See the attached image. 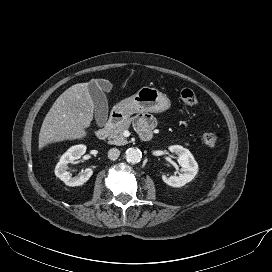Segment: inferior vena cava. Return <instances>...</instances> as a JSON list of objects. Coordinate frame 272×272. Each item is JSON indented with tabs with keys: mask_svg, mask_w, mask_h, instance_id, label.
<instances>
[{
	"mask_svg": "<svg viewBox=\"0 0 272 272\" xmlns=\"http://www.w3.org/2000/svg\"><path fill=\"white\" fill-rule=\"evenodd\" d=\"M120 155V151L117 148H112L108 151V158L111 160H116Z\"/></svg>",
	"mask_w": 272,
	"mask_h": 272,
	"instance_id": "inferior-vena-cava-1",
	"label": "inferior vena cava"
}]
</instances>
